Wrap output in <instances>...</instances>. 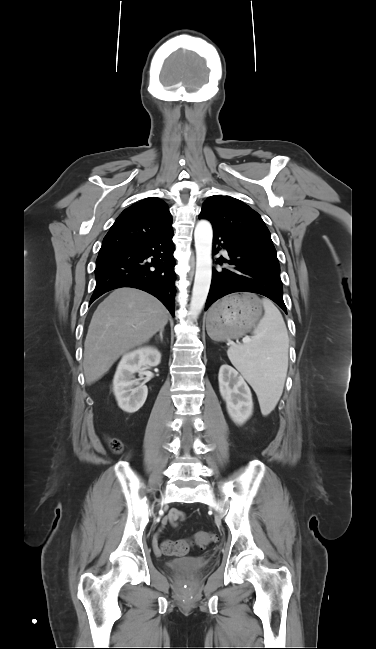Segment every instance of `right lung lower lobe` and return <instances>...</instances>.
Segmentation results:
<instances>
[{"label": "right lung lower lobe", "mask_w": 376, "mask_h": 649, "mask_svg": "<svg viewBox=\"0 0 376 649\" xmlns=\"http://www.w3.org/2000/svg\"><path fill=\"white\" fill-rule=\"evenodd\" d=\"M172 237L173 231L123 248L99 252L96 287L89 304L112 289L133 287L154 295L174 316L176 275Z\"/></svg>", "instance_id": "right-lung-lower-lobe-1"}]
</instances>
